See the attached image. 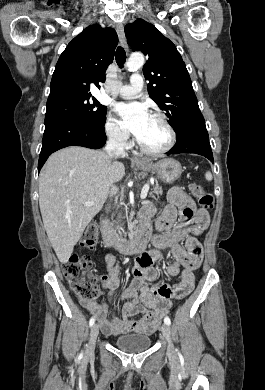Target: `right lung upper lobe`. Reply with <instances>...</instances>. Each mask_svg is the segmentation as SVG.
<instances>
[{"mask_svg":"<svg viewBox=\"0 0 265 390\" xmlns=\"http://www.w3.org/2000/svg\"><path fill=\"white\" fill-rule=\"evenodd\" d=\"M118 36L112 28L94 24L77 35L60 55L48 99L70 94H91L90 85L104 82V74L114 58Z\"/></svg>","mask_w":265,"mask_h":390,"instance_id":"cb5924a9","label":"right lung upper lobe"}]
</instances>
